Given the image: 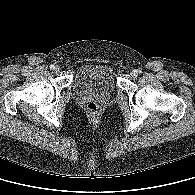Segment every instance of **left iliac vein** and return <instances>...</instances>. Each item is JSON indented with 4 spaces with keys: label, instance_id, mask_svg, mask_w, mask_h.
<instances>
[{
    "label": "left iliac vein",
    "instance_id": "4c4485c4",
    "mask_svg": "<svg viewBox=\"0 0 195 195\" xmlns=\"http://www.w3.org/2000/svg\"><path fill=\"white\" fill-rule=\"evenodd\" d=\"M130 75H131V77H136L137 73H136V71L133 70V71H131Z\"/></svg>",
    "mask_w": 195,
    "mask_h": 195
}]
</instances>
